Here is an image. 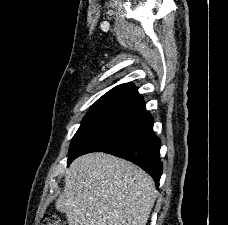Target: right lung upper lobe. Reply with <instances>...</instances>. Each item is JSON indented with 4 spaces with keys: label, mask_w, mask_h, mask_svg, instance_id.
Returning <instances> with one entry per match:
<instances>
[{
    "label": "right lung upper lobe",
    "mask_w": 228,
    "mask_h": 225,
    "mask_svg": "<svg viewBox=\"0 0 228 225\" xmlns=\"http://www.w3.org/2000/svg\"><path fill=\"white\" fill-rule=\"evenodd\" d=\"M123 86H127V87H131V88H135L132 83H125V84H122Z\"/></svg>",
    "instance_id": "cb5924a9"
}]
</instances>
